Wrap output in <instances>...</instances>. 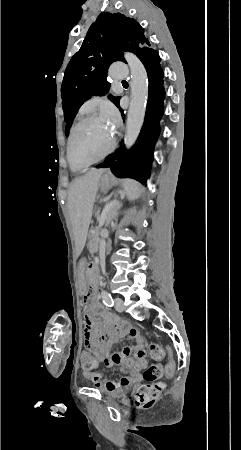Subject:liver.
<instances>
[{"instance_id":"1","label":"liver","mask_w":241,"mask_h":450,"mask_svg":"<svg viewBox=\"0 0 241 450\" xmlns=\"http://www.w3.org/2000/svg\"><path fill=\"white\" fill-rule=\"evenodd\" d=\"M104 170H93L82 178H76L69 190V210L72 218H76L78 226L87 220V228L92 218V210L99 190L100 178Z\"/></svg>"}]
</instances>
